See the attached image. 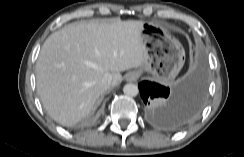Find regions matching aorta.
<instances>
[{
	"mask_svg": "<svg viewBox=\"0 0 244 157\" xmlns=\"http://www.w3.org/2000/svg\"><path fill=\"white\" fill-rule=\"evenodd\" d=\"M123 92L127 96H132L133 97V96H136L139 93V89H138L137 85L129 83V84H126L123 87Z\"/></svg>",
	"mask_w": 244,
	"mask_h": 157,
	"instance_id": "obj_1",
	"label": "aorta"
}]
</instances>
